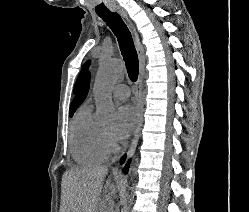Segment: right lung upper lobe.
Instances as JSON below:
<instances>
[{
    "label": "right lung upper lobe",
    "instance_id": "cb5924a9",
    "mask_svg": "<svg viewBox=\"0 0 249 212\" xmlns=\"http://www.w3.org/2000/svg\"><path fill=\"white\" fill-rule=\"evenodd\" d=\"M90 87V74L88 73L81 90L79 91L78 95L75 97L73 100L71 107H70V112L76 111V109L79 107V105L84 101L86 98L88 91Z\"/></svg>",
    "mask_w": 249,
    "mask_h": 212
}]
</instances>
